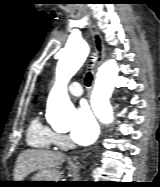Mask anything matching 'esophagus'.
<instances>
[{
  "mask_svg": "<svg viewBox=\"0 0 160 187\" xmlns=\"http://www.w3.org/2000/svg\"><path fill=\"white\" fill-rule=\"evenodd\" d=\"M92 33H93L94 46L96 49V61H95V69H94V73H96L98 67L102 64L105 58V45L102 35L94 25L92 26Z\"/></svg>",
  "mask_w": 160,
  "mask_h": 187,
  "instance_id": "1",
  "label": "esophagus"
}]
</instances>
